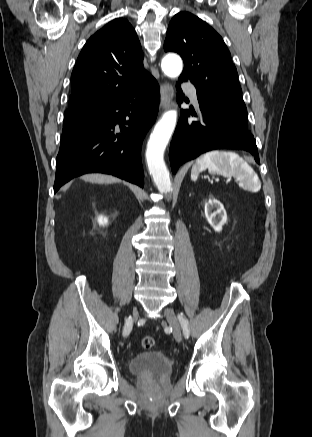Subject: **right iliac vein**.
<instances>
[{
  "label": "right iliac vein",
  "instance_id": "1",
  "mask_svg": "<svg viewBox=\"0 0 312 437\" xmlns=\"http://www.w3.org/2000/svg\"><path fill=\"white\" fill-rule=\"evenodd\" d=\"M137 316H138V312L135 310V311L133 312V319H136Z\"/></svg>",
  "mask_w": 312,
  "mask_h": 437
}]
</instances>
